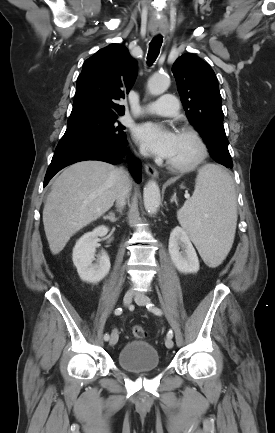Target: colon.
I'll return each instance as SVG.
<instances>
[{"label":"colon","mask_w":275,"mask_h":433,"mask_svg":"<svg viewBox=\"0 0 275 433\" xmlns=\"http://www.w3.org/2000/svg\"><path fill=\"white\" fill-rule=\"evenodd\" d=\"M132 333H133V335H134L136 338H140V339H142V338H145V337H146V331H145V329H144L142 326H140V325H136V326H134L133 329H132Z\"/></svg>","instance_id":"5ec220e1"}]
</instances>
